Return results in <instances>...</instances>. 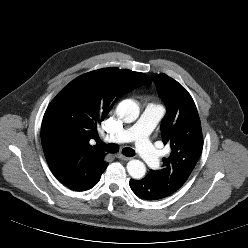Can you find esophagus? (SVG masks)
<instances>
[{
  "instance_id": "1",
  "label": "esophagus",
  "mask_w": 248,
  "mask_h": 248,
  "mask_svg": "<svg viewBox=\"0 0 248 248\" xmlns=\"http://www.w3.org/2000/svg\"><path fill=\"white\" fill-rule=\"evenodd\" d=\"M117 158L121 159V160H124V161H128V160L131 159L130 157H127V156H125V155H123L121 153L117 154Z\"/></svg>"
}]
</instances>
